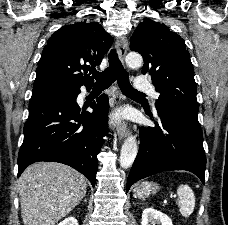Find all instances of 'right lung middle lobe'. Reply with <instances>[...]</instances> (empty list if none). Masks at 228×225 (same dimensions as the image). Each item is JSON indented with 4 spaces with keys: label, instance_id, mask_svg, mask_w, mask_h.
<instances>
[{
    "label": "right lung middle lobe",
    "instance_id": "1",
    "mask_svg": "<svg viewBox=\"0 0 228 225\" xmlns=\"http://www.w3.org/2000/svg\"><path fill=\"white\" fill-rule=\"evenodd\" d=\"M72 91H75V89L66 88L62 86L37 87V88H33L31 99H36V98H40V97H44L52 94H57V93L72 92Z\"/></svg>",
    "mask_w": 228,
    "mask_h": 225
}]
</instances>
